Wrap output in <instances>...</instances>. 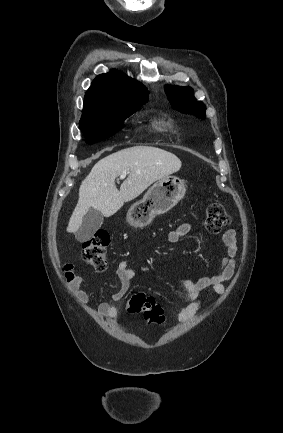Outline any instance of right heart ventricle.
<instances>
[{
    "label": "right heart ventricle",
    "mask_w": 283,
    "mask_h": 433,
    "mask_svg": "<svg viewBox=\"0 0 283 433\" xmlns=\"http://www.w3.org/2000/svg\"><path fill=\"white\" fill-rule=\"evenodd\" d=\"M153 126L157 129H163L169 126V122L165 119H158L153 121Z\"/></svg>",
    "instance_id": "right-heart-ventricle-1"
}]
</instances>
